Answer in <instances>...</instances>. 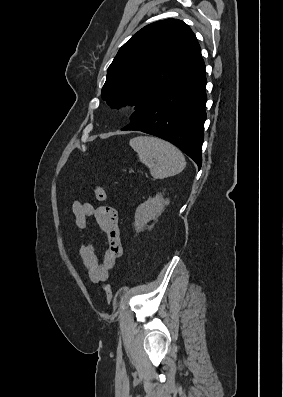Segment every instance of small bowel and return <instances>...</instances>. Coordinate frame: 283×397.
<instances>
[{
	"mask_svg": "<svg viewBox=\"0 0 283 397\" xmlns=\"http://www.w3.org/2000/svg\"><path fill=\"white\" fill-rule=\"evenodd\" d=\"M72 213L75 217V224L80 231L86 229L88 219L93 217L105 235L107 248L101 262L98 260L95 248L90 241L81 244L79 254L91 281L94 283L106 281L110 270L114 268L123 251L118 213L113 207L101 206L96 208L91 203L83 201L74 202Z\"/></svg>",
	"mask_w": 283,
	"mask_h": 397,
	"instance_id": "obj_1",
	"label": "small bowel"
}]
</instances>
